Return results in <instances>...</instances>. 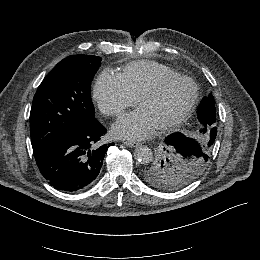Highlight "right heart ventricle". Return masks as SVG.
Listing matches in <instances>:
<instances>
[{
	"instance_id": "right-heart-ventricle-1",
	"label": "right heart ventricle",
	"mask_w": 260,
	"mask_h": 260,
	"mask_svg": "<svg viewBox=\"0 0 260 260\" xmlns=\"http://www.w3.org/2000/svg\"><path fill=\"white\" fill-rule=\"evenodd\" d=\"M178 73L171 67L154 61L133 62L126 66L120 78L128 92L136 98L141 90L156 78Z\"/></svg>"
}]
</instances>
